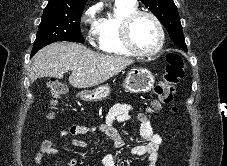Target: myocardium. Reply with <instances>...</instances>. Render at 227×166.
<instances>
[{
    "instance_id": "obj_1",
    "label": "myocardium",
    "mask_w": 227,
    "mask_h": 166,
    "mask_svg": "<svg viewBox=\"0 0 227 166\" xmlns=\"http://www.w3.org/2000/svg\"><path fill=\"white\" fill-rule=\"evenodd\" d=\"M146 16L149 17L156 26L158 31V41L156 46L149 51H144L139 49L132 39V27L136 20L141 17ZM120 37L122 40L123 45L134 55L139 57H150L158 54L164 45V30L160 20L151 12L148 11H135L123 20L120 29Z\"/></svg>"
}]
</instances>
